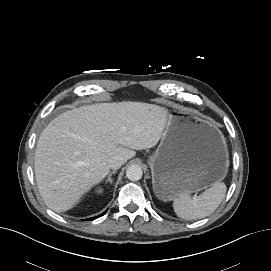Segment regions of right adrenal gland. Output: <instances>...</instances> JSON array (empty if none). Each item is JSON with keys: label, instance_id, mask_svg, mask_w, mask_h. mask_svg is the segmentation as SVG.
<instances>
[{"label": "right adrenal gland", "instance_id": "obj_1", "mask_svg": "<svg viewBox=\"0 0 271 271\" xmlns=\"http://www.w3.org/2000/svg\"><path fill=\"white\" fill-rule=\"evenodd\" d=\"M115 173H116V170H113L112 172H110V174H109V176H108V178H107V180H106V183H107V182H110V183L112 184L113 181H112V178H111V177H112V175L115 174Z\"/></svg>", "mask_w": 271, "mask_h": 271}]
</instances>
